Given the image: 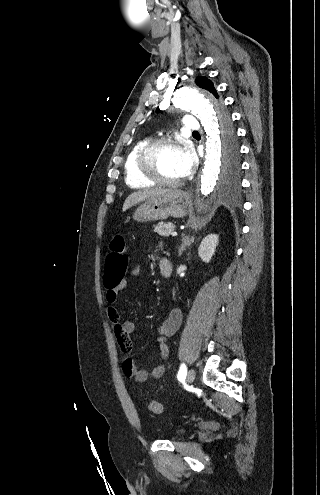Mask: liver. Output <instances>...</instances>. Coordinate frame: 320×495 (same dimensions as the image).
Returning <instances> with one entry per match:
<instances>
[{
	"mask_svg": "<svg viewBox=\"0 0 320 495\" xmlns=\"http://www.w3.org/2000/svg\"><path fill=\"white\" fill-rule=\"evenodd\" d=\"M169 190H145V191H138V192H134L132 194H130L124 204H123V211H126L127 209H129L130 207L142 202V201H145V200H150V199H153L154 197L156 196H159L163 193H166L168 192Z\"/></svg>",
	"mask_w": 320,
	"mask_h": 495,
	"instance_id": "6515ba94",
	"label": "liver"
}]
</instances>
